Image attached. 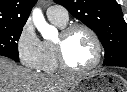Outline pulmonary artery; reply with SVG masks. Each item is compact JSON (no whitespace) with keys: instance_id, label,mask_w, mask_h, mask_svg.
Masks as SVG:
<instances>
[{"instance_id":"obj_1","label":"pulmonary artery","mask_w":127,"mask_h":92,"mask_svg":"<svg viewBox=\"0 0 127 92\" xmlns=\"http://www.w3.org/2000/svg\"><path fill=\"white\" fill-rule=\"evenodd\" d=\"M47 15L50 18H56L62 21L68 20V13L66 9L59 5L50 6L47 9Z\"/></svg>"}]
</instances>
